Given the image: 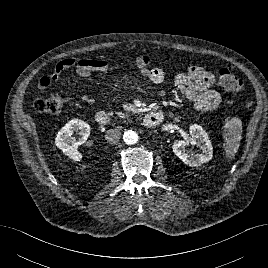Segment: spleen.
<instances>
[{
  "instance_id": "spleen-1",
  "label": "spleen",
  "mask_w": 268,
  "mask_h": 268,
  "mask_svg": "<svg viewBox=\"0 0 268 268\" xmlns=\"http://www.w3.org/2000/svg\"><path fill=\"white\" fill-rule=\"evenodd\" d=\"M224 132L226 154L229 158H233L242 138V121L237 117L228 120L224 126Z\"/></svg>"
}]
</instances>
